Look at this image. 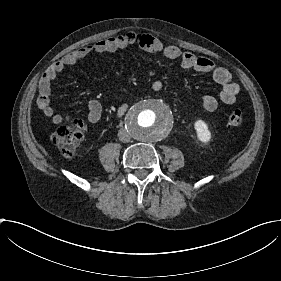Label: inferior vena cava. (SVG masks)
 <instances>
[{
  "mask_svg": "<svg viewBox=\"0 0 281 281\" xmlns=\"http://www.w3.org/2000/svg\"><path fill=\"white\" fill-rule=\"evenodd\" d=\"M118 137H119V140L123 143H128L130 142L131 140V136L130 134L128 133V131L124 128H121L119 131H118Z\"/></svg>",
  "mask_w": 281,
  "mask_h": 281,
  "instance_id": "1",
  "label": "inferior vena cava"
}]
</instances>
